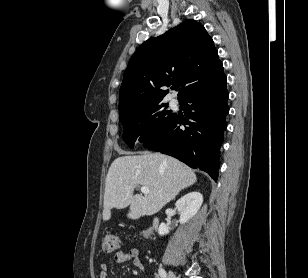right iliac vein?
Segmentation results:
<instances>
[{
  "label": "right iliac vein",
  "instance_id": "obj_1",
  "mask_svg": "<svg viewBox=\"0 0 308 278\" xmlns=\"http://www.w3.org/2000/svg\"><path fill=\"white\" fill-rule=\"evenodd\" d=\"M168 278H176V276L172 271H169L168 272Z\"/></svg>",
  "mask_w": 308,
  "mask_h": 278
}]
</instances>
